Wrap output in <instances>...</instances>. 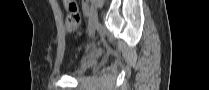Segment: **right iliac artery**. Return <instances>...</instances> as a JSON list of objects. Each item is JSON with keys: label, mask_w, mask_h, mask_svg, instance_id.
I'll use <instances>...</instances> for the list:
<instances>
[{"label": "right iliac artery", "mask_w": 209, "mask_h": 90, "mask_svg": "<svg viewBox=\"0 0 209 90\" xmlns=\"http://www.w3.org/2000/svg\"><path fill=\"white\" fill-rule=\"evenodd\" d=\"M82 9H83L84 15L86 17H89L90 16V10H89L88 4L84 3L83 6H82Z\"/></svg>", "instance_id": "right-iliac-artery-1"}]
</instances>
